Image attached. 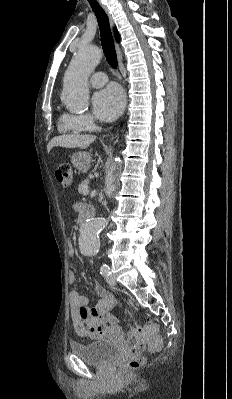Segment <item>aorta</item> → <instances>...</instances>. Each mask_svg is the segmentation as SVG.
Returning <instances> with one entry per match:
<instances>
[{
    "mask_svg": "<svg viewBox=\"0 0 232 399\" xmlns=\"http://www.w3.org/2000/svg\"><path fill=\"white\" fill-rule=\"evenodd\" d=\"M102 58L96 46H81L71 60L64 78L61 100L72 112L86 110L89 105L88 78ZM120 160L111 165L105 178V192L111 197L115 191L116 172L120 170ZM105 218L87 220L80 228L79 248L82 254L94 256L99 252V233L105 228Z\"/></svg>",
    "mask_w": 232,
    "mask_h": 399,
    "instance_id": "1",
    "label": "aorta"
}]
</instances>
